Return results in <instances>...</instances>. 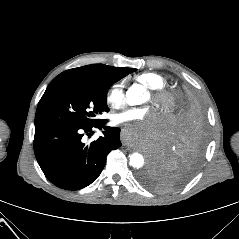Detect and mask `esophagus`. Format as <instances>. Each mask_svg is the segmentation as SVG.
Instances as JSON below:
<instances>
[{"label": "esophagus", "mask_w": 239, "mask_h": 239, "mask_svg": "<svg viewBox=\"0 0 239 239\" xmlns=\"http://www.w3.org/2000/svg\"><path fill=\"white\" fill-rule=\"evenodd\" d=\"M121 135H122V136L119 137V140H120V141H123V140H124V137H123V136L126 135V132L124 131V129H122V131H121ZM124 145L127 146V143H126L125 141H124Z\"/></svg>", "instance_id": "esophagus-1"}]
</instances>
